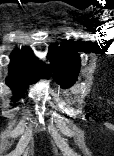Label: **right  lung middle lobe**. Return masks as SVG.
<instances>
[{
	"mask_svg": "<svg viewBox=\"0 0 114 156\" xmlns=\"http://www.w3.org/2000/svg\"><path fill=\"white\" fill-rule=\"evenodd\" d=\"M36 80H37V79H36ZM36 80H33V81H31L30 83H33V82H35ZM30 83H28V84H30ZM28 84L22 85V86H20V87H12V86H10V87L13 89V91H14V93H15L16 95L22 96L23 93H24V90L26 89V87L28 86Z\"/></svg>",
	"mask_w": 114,
	"mask_h": 156,
	"instance_id": "dd1d6c3e",
	"label": "right lung middle lobe"
}]
</instances>
